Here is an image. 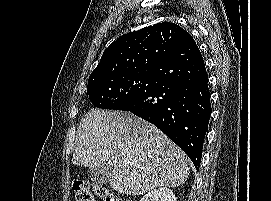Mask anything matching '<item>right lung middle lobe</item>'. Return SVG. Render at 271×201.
I'll return each mask as SVG.
<instances>
[{
	"instance_id": "dd1d6c3e",
	"label": "right lung middle lobe",
	"mask_w": 271,
	"mask_h": 201,
	"mask_svg": "<svg viewBox=\"0 0 271 201\" xmlns=\"http://www.w3.org/2000/svg\"><path fill=\"white\" fill-rule=\"evenodd\" d=\"M152 81L153 72H124L89 78L87 93L94 106L119 110L125 102L147 90Z\"/></svg>"
}]
</instances>
